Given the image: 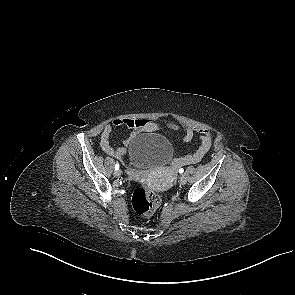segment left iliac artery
I'll list each match as a JSON object with an SVG mask.
<instances>
[{
  "label": "left iliac artery",
  "instance_id": "44dca946",
  "mask_svg": "<svg viewBox=\"0 0 295 295\" xmlns=\"http://www.w3.org/2000/svg\"><path fill=\"white\" fill-rule=\"evenodd\" d=\"M184 172V169L183 168H180L179 169V173H183Z\"/></svg>",
  "mask_w": 295,
  "mask_h": 295
}]
</instances>
